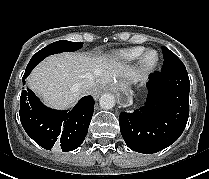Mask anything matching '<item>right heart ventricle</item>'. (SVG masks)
I'll return each mask as SVG.
<instances>
[{
	"instance_id": "e07e8e85",
	"label": "right heart ventricle",
	"mask_w": 209,
	"mask_h": 179,
	"mask_svg": "<svg viewBox=\"0 0 209 179\" xmlns=\"http://www.w3.org/2000/svg\"><path fill=\"white\" fill-rule=\"evenodd\" d=\"M144 51L143 46L128 47L114 52L112 58L118 63L129 64L138 60Z\"/></svg>"
}]
</instances>
